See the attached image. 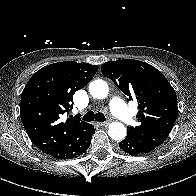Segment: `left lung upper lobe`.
<instances>
[{"label": "left lung upper lobe", "mask_w": 196, "mask_h": 196, "mask_svg": "<svg viewBox=\"0 0 196 196\" xmlns=\"http://www.w3.org/2000/svg\"><path fill=\"white\" fill-rule=\"evenodd\" d=\"M102 74L111 79L129 100L138 102L139 125L127 127V136L160 146L171 132L178 114L177 96L163 74L142 61L124 59L106 62Z\"/></svg>", "instance_id": "5c2ea615"}]
</instances>
